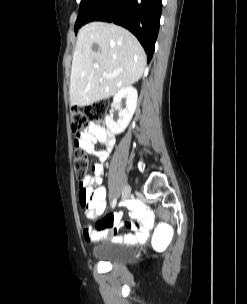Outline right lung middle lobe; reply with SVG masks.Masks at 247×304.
Here are the masks:
<instances>
[{
  "label": "right lung middle lobe",
  "instance_id": "1",
  "mask_svg": "<svg viewBox=\"0 0 247 304\" xmlns=\"http://www.w3.org/2000/svg\"><path fill=\"white\" fill-rule=\"evenodd\" d=\"M103 0H81L78 17L75 25V33L82 26L81 22L102 2Z\"/></svg>",
  "mask_w": 247,
  "mask_h": 304
}]
</instances>
